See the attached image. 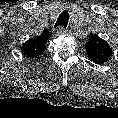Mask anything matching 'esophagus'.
Returning <instances> with one entry per match:
<instances>
[{
  "mask_svg": "<svg viewBox=\"0 0 118 118\" xmlns=\"http://www.w3.org/2000/svg\"><path fill=\"white\" fill-rule=\"evenodd\" d=\"M69 31L67 29H64L63 27L57 28V34L58 35H64L67 34Z\"/></svg>",
  "mask_w": 118,
  "mask_h": 118,
  "instance_id": "34e87169",
  "label": "esophagus"
}]
</instances>
